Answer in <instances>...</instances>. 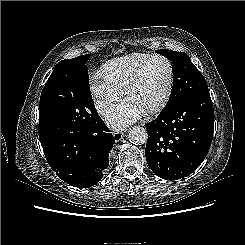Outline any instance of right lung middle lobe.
Instances as JSON below:
<instances>
[{
    "mask_svg": "<svg viewBox=\"0 0 245 245\" xmlns=\"http://www.w3.org/2000/svg\"><path fill=\"white\" fill-rule=\"evenodd\" d=\"M90 55L62 60L40 96L39 121H67L88 126L97 116L90 94L86 62Z\"/></svg>",
    "mask_w": 245,
    "mask_h": 245,
    "instance_id": "dd1d6c3e",
    "label": "right lung middle lobe"
}]
</instances>
